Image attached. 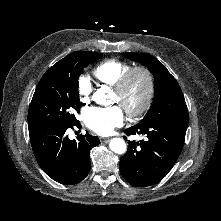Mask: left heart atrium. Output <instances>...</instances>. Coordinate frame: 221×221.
<instances>
[{"label":"left heart atrium","mask_w":221,"mask_h":221,"mask_svg":"<svg viewBox=\"0 0 221 221\" xmlns=\"http://www.w3.org/2000/svg\"><path fill=\"white\" fill-rule=\"evenodd\" d=\"M86 126L99 135H109L124 122L120 106L90 107L84 112Z\"/></svg>","instance_id":"left-heart-atrium-1"}]
</instances>
